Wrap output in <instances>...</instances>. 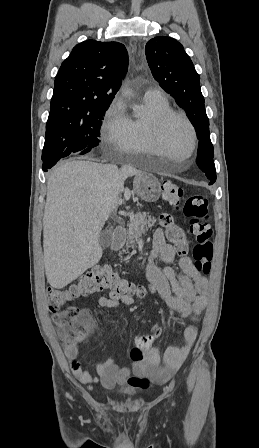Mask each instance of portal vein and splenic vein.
Here are the masks:
<instances>
[{"label":"portal vein and splenic vein","mask_w":259,"mask_h":448,"mask_svg":"<svg viewBox=\"0 0 259 448\" xmlns=\"http://www.w3.org/2000/svg\"><path fill=\"white\" fill-rule=\"evenodd\" d=\"M93 218H97V212H91Z\"/></svg>","instance_id":"1"}]
</instances>
